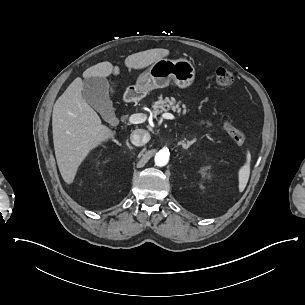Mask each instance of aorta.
<instances>
[{"label": "aorta", "mask_w": 305, "mask_h": 305, "mask_svg": "<svg viewBox=\"0 0 305 305\" xmlns=\"http://www.w3.org/2000/svg\"><path fill=\"white\" fill-rule=\"evenodd\" d=\"M154 160L157 166H165L169 161V153L165 150H160L156 153Z\"/></svg>", "instance_id": "1"}]
</instances>
